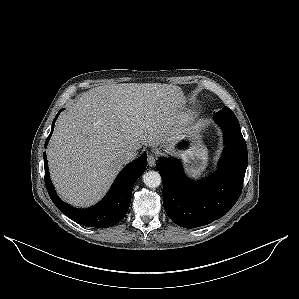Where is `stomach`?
I'll use <instances>...</instances> for the list:
<instances>
[{"mask_svg":"<svg viewBox=\"0 0 299 299\" xmlns=\"http://www.w3.org/2000/svg\"><path fill=\"white\" fill-rule=\"evenodd\" d=\"M189 175L198 178L206 169L208 154L206 148L197 142L189 151L181 155Z\"/></svg>","mask_w":299,"mask_h":299,"instance_id":"1","label":"stomach"}]
</instances>
